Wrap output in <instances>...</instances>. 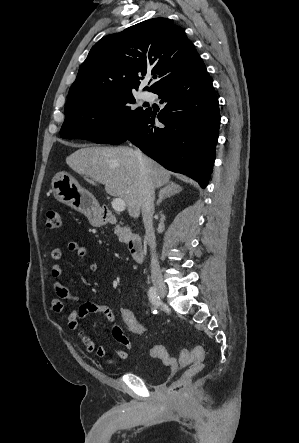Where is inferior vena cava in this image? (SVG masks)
I'll return each instance as SVG.
<instances>
[{"label": "inferior vena cava", "mask_w": 299, "mask_h": 443, "mask_svg": "<svg viewBox=\"0 0 299 443\" xmlns=\"http://www.w3.org/2000/svg\"><path fill=\"white\" fill-rule=\"evenodd\" d=\"M135 155L140 164L141 189L139 200L141 204L143 224L145 227V240L147 241L151 250V274L152 276H160L161 271L155 251L156 237L152 219L154 213L155 186L150 179L148 170L144 164L143 155L140 150H135Z\"/></svg>", "instance_id": "602c4592"}]
</instances>
